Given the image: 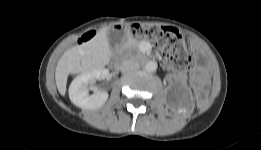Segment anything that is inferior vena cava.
<instances>
[{"label": "inferior vena cava", "mask_w": 261, "mask_h": 150, "mask_svg": "<svg viewBox=\"0 0 261 150\" xmlns=\"http://www.w3.org/2000/svg\"><path fill=\"white\" fill-rule=\"evenodd\" d=\"M139 67L138 63L134 62L133 60H125L122 62L120 69L121 72L126 73L131 70L137 69Z\"/></svg>", "instance_id": "1"}]
</instances>
